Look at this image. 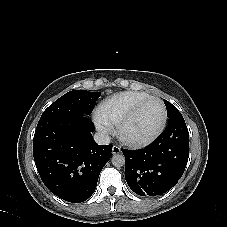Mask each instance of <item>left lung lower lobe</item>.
Returning <instances> with one entry per match:
<instances>
[{
    "label": "left lung lower lobe",
    "mask_w": 227,
    "mask_h": 227,
    "mask_svg": "<svg viewBox=\"0 0 227 227\" xmlns=\"http://www.w3.org/2000/svg\"><path fill=\"white\" fill-rule=\"evenodd\" d=\"M125 179L140 196H157L174 187L182 177L189 157V132L180 114L160 136L139 150L122 149Z\"/></svg>",
    "instance_id": "left-lung-lower-lobe-1"
}]
</instances>
